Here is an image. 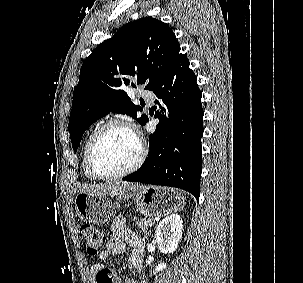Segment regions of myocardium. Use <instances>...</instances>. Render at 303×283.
Returning <instances> with one entry per match:
<instances>
[{
  "instance_id": "f54148a6",
  "label": "myocardium",
  "mask_w": 303,
  "mask_h": 283,
  "mask_svg": "<svg viewBox=\"0 0 303 283\" xmlns=\"http://www.w3.org/2000/svg\"><path fill=\"white\" fill-rule=\"evenodd\" d=\"M112 126L124 127L134 134V136L136 137L137 142H138V153H137L135 160L129 167H127L126 169H124L122 171L108 174V173L102 172L98 168L96 161H95V151H96L97 144H98L100 138L102 137L103 133ZM145 157H146V146H145L143 139L137 132V130L127 121L118 119V118L110 119V120L106 121L105 123H103L102 125H100L97 128V130L95 131L94 135L92 136V139H91L88 149H87V163H88L89 169L92 172V174L100 180L118 179V178H122V177H125V176L133 173L143 164Z\"/></svg>"
}]
</instances>
